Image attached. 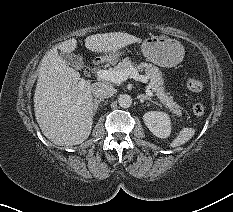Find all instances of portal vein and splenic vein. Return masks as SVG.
I'll return each mask as SVG.
<instances>
[{
    "mask_svg": "<svg viewBox=\"0 0 233 212\" xmlns=\"http://www.w3.org/2000/svg\"><path fill=\"white\" fill-rule=\"evenodd\" d=\"M96 76L100 79L111 81V82L116 83V84L117 83L120 84L121 82L127 80L129 77L133 78L136 81H140L143 83L147 82V77L144 75H140L138 73V71H136L135 69L124 70V71H117L114 69H109V70L99 69L96 72ZM81 82L83 83L84 80L82 79ZM146 94L148 96H153V93L150 90V88L146 89Z\"/></svg>",
    "mask_w": 233,
    "mask_h": 212,
    "instance_id": "1",
    "label": "portal vein and splenic vein"
}]
</instances>
